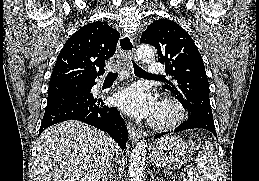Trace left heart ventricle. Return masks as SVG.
Instances as JSON below:
<instances>
[{
    "label": "left heart ventricle",
    "instance_id": "b2bd125f",
    "mask_svg": "<svg viewBox=\"0 0 259 181\" xmlns=\"http://www.w3.org/2000/svg\"><path fill=\"white\" fill-rule=\"evenodd\" d=\"M155 116H164V112L158 109V112L156 113Z\"/></svg>",
    "mask_w": 259,
    "mask_h": 181
}]
</instances>
